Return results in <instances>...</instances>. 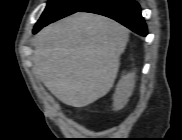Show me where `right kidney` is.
Here are the masks:
<instances>
[{
	"label": "right kidney",
	"mask_w": 182,
	"mask_h": 140,
	"mask_svg": "<svg viewBox=\"0 0 182 140\" xmlns=\"http://www.w3.org/2000/svg\"><path fill=\"white\" fill-rule=\"evenodd\" d=\"M135 87V73L123 75L113 95V107L118 111L125 107Z\"/></svg>",
	"instance_id": "obj_1"
}]
</instances>
